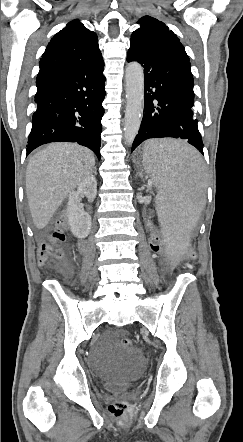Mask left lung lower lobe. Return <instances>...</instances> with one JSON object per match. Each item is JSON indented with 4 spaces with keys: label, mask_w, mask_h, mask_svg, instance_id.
I'll return each mask as SVG.
<instances>
[{
    "label": "left lung lower lobe",
    "mask_w": 243,
    "mask_h": 442,
    "mask_svg": "<svg viewBox=\"0 0 243 442\" xmlns=\"http://www.w3.org/2000/svg\"><path fill=\"white\" fill-rule=\"evenodd\" d=\"M127 61L144 68V114L132 151L150 138H180L202 154L203 143L194 116L193 76L190 63L130 42Z\"/></svg>",
    "instance_id": "obj_1"
}]
</instances>
